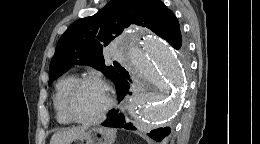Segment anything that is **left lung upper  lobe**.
I'll return each mask as SVG.
<instances>
[{
	"instance_id": "left-lung-upper-lobe-1",
	"label": "left lung upper lobe",
	"mask_w": 260,
	"mask_h": 144,
	"mask_svg": "<svg viewBox=\"0 0 260 144\" xmlns=\"http://www.w3.org/2000/svg\"><path fill=\"white\" fill-rule=\"evenodd\" d=\"M131 24L147 27L167 42L180 31L176 16L162 1L112 0L95 15L75 21L61 36L49 66V84L78 64L94 67L117 86L125 72L105 65L103 47ZM180 50L186 52L185 42Z\"/></svg>"
}]
</instances>
